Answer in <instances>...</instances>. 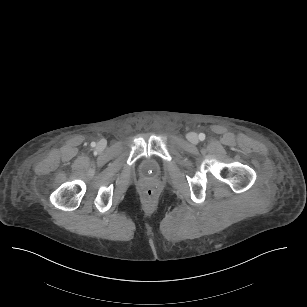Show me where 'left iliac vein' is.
Here are the masks:
<instances>
[{"label": "left iliac vein", "instance_id": "4c4485c4", "mask_svg": "<svg viewBox=\"0 0 307 307\" xmlns=\"http://www.w3.org/2000/svg\"><path fill=\"white\" fill-rule=\"evenodd\" d=\"M189 141H190L191 143L196 144V143L198 142V136H197V134H196V133H190V135H189Z\"/></svg>", "mask_w": 307, "mask_h": 307}]
</instances>
